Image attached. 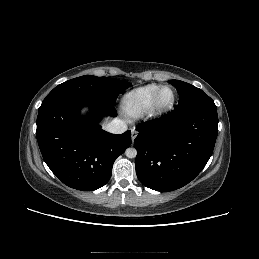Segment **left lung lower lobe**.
Masks as SVG:
<instances>
[{
    "instance_id": "obj_1",
    "label": "left lung lower lobe",
    "mask_w": 259,
    "mask_h": 259,
    "mask_svg": "<svg viewBox=\"0 0 259 259\" xmlns=\"http://www.w3.org/2000/svg\"><path fill=\"white\" fill-rule=\"evenodd\" d=\"M136 174L146 187L173 191L192 181L212 155L218 134L217 107L196 104L137 126Z\"/></svg>"
}]
</instances>
